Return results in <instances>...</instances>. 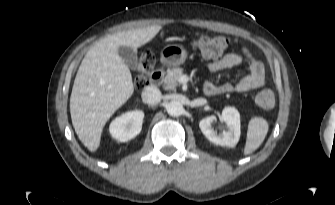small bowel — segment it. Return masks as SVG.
Masks as SVG:
<instances>
[{
	"mask_svg": "<svg viewBox=\"0 0 335 205\" xmlns=\"http://www.w3.org/2000/svg\"><path fill=\"white\" fill-rule=\"evenodd\" d=\"M247 60L250 63L249 73L244 76L236 85L225 83L222 85H214L207 83L205 86L213 88L215 94L230 93L233 91L237 92H248L257 88L262 87L265 84V69L261 61L257 60L252 54L245 48L242 49L241 53H228L220 59L213 61L208 64V70L210 72H217L231 67L242 65L243 61Z\"/></svg>",
	"mask_w": 335,
	"mask_h": 205,
	"instance_id": "obj_1",
	"label": "small bowel"
}]
</instances>
